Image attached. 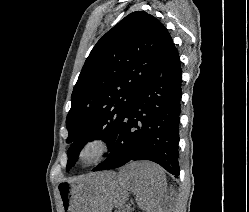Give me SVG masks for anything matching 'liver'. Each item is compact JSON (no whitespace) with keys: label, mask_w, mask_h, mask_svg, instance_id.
I'll use <instances>...</instances> for the list:
<instances>
[{"label":"liver","mask_w":249,"mask_h":212,"mask_svg":"<svg viewBox=\"0 0 249 212\" xmlns=\"http://www.w3.org/2000/svg\"><path fill=\"white\" fill-rule=\"evenodd\" d=\"M99 188L103 194L104 212L122 208L129 192L136 194L139 208L151 210L158 206L166 192V178L157 164L130 162L121 168L119 174H99Z\"/></svg>","instance_id":"liver-1"}]
</instances>
